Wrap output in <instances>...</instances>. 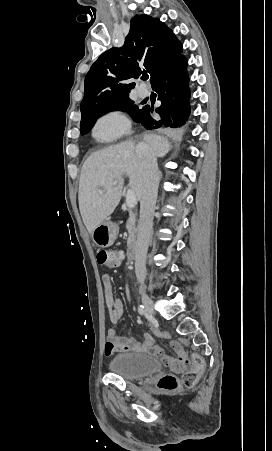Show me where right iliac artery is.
Masks as SVG:
<instances>
[{
	"label": "right iliac artery",
	"mask_w": 272,
	"mask_h": 451,
	"mask_svg": "<svg viewBox=\"0 0 272 451\" xmlns=\"http://www.w3.org/2000/svg\"><path fill=\"white\" fill-rule=\"evenodd\" d=\"M138 312H139L141 315H144V314L146 313L145 307H144L143 305H140V306L138 307Z\"/></svg>",
	"instance_id": "right-iliac-artery-1"
}]
</instances>
